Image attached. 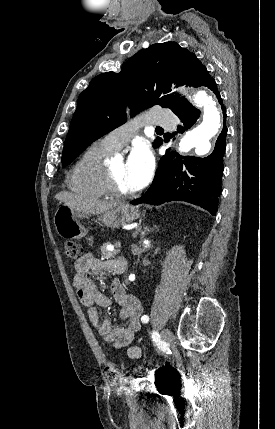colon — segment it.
I'll list each match as a JSON object with an SVG mask.
<instances>
[{
    "label": "colon",
    "instance_id": "obj_1",
    "mask_svg": "<svg viewBox=\"0 0 275 429\" xmlns=\"http://www.w3.org/2000/svg\"><path fill=\"white\" fill-rule=\"evenodd\" d=\"M81 251H82L81 246L74 241H67L64 244V253L66 258L69 261H74L78 259V257L81 254ZM105 371L109 382L113 383L117 381L120 374V370L115 364H112V363L108 364L106 366Z\"/></svg>",
    "mask_w": 275,
    "mask_h": 429
}]
</instances>
